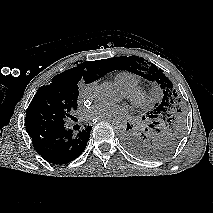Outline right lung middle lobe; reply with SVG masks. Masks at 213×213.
<instances>
[{"label": "right lung middle lobe", "mask_w": 213, "mask_h": 213, "mask_svg": "<svg viewBox=\"0 0 213 213\" xmlns=\"http://www.w3.org/2000/svg\"><path fill=\"white\" fill-rule=\"evenodd\" d=\"M80 80L89 83L83 74L72 73L38 89L26 112V131L30 137L48 128L62 126L72 117L77 109Z\"/></svg>", "instance_id": "dd1d6c3e"}]
</instances>
